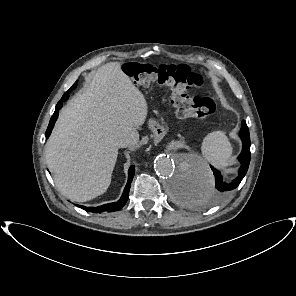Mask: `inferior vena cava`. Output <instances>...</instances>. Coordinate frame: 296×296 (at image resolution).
I'll return each instance as SVG.
<instances>
[{
    "mask_svg": "<svg viewBox=\"0 0 296 296\" xmlns=\"http://www.w3.org/2000/svg\"><path fill=\"white\" fill-rule=\"evenodd\" d=\"M133 144H134L133 139L131 137H128V136L119 139L118 142H117L118 147H121V148L131 146Z\"/></svg>",
    "mask_w": 296,
    "mask_h": 296,
    "instance_id": "602c4592",
    "label": "inferior vena cava"
}]
</instances>
